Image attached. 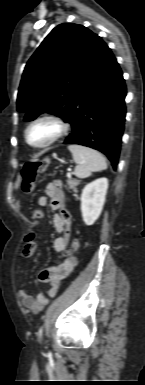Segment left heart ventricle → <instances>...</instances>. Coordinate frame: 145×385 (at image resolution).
Returning a JSON list of instances; mask_svg holds the SVG:
<instances>
[{"label": "left heart ventricle", "mask_w": 145, "mask_h": 385, "mask_svg": "<svg viewBox=\"0 0 145 385\" xmlns=\"http://www.w3.org/2000/svg\"><path fill=\"white\" fill-rule=\"evenodd\" d=\"M57 131L54 124L41 122L33 126L29 132V140L33 144H43L51 139Z\"/></svg>", "instance_id": "1"}]
</instances>
